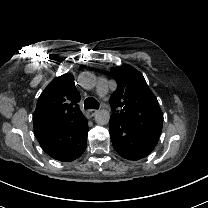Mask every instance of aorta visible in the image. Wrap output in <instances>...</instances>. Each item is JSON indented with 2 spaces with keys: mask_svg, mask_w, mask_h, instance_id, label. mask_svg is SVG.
<instances>
[{
  "mask_svg": "<svg viewBox=\"0 0 208 208\" xmlns=\"http://www.w3.org/2000/svg\"><path fill=\"white\" fill-rule=\"evenodd\" d=\"M111 117L110 110L108 108H101L95 112V121L99 125H106L109 123Z\"/></svg>",
  "mask_w": 208,
  "mask_h": 208,
  "instance_id": "obj_1",
  "label": "aorta"
}]
</instances>
